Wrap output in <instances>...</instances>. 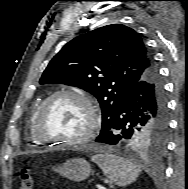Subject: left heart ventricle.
Listing matches in <instances>:
<instances>
[{"instance_id": "1", "label": "left heart ventricle", "mask_w": 188, "mask_h": 189, "mask_svg": "<svg viewBox=\"0 0 188 189\" xmlns=\"http://www.w3.org/2000/svg\"><path fill=\"white\" fill-rule=\"evenodd\" d=\"M89 112L77 98L63 96L54 100L41 122V135L48 139H70L79 136L87 127Z\"/></svg>"}]
</instances>
